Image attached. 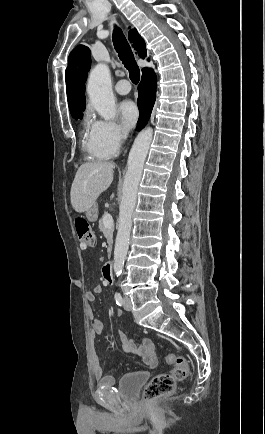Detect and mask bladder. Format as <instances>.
<instances>
[{
	"instance_id": "bladder-1",
	"label": "bladder",
	"mask_w": 265,
	"mask_h": 434,
	"mask_svg": "<svg viewBox=\"0 0 265 434\" xmlns=\"http://www.w3.org/2000/svg\"><path fill=\"white\" fill-rule=\"evenodd\" d=\"M148 379L144 371L130 372L122 376L118 384V395L126 399H136Z\"/></svg>"
}]
</instances>
